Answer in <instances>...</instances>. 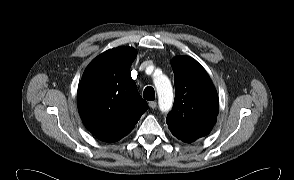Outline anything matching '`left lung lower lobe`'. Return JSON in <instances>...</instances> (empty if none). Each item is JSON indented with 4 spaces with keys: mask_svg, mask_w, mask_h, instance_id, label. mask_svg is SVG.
Wrapping results in <instances>:
<instances>
[{
    "mask_svg": "<svg viewBox=\"0 0 294 180\" xmlns=\"http://www.w3.org/2000/svg\"><path fill=\"white\" fill-rule=\"evenodd\" d=\"M178 139H180V140H182L183 142H186V143H191V142L195 141L197 138L181 136V137H178Z\"/></svg>",
    "mask_w": 294,
    "mask_h": 180,
    "instance_id": "0a47b994",
    "label": "left lung lower lobe"
}]
</instances>
